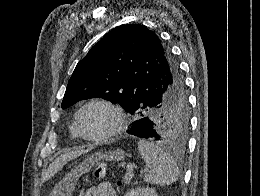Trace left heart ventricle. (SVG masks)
<instances>
[{
	"mask_svg": "<svg viewBox=\"0 0 260 196\" xmlns=\"http://www.w3.org/2000/svg\"><path fill=\"white\" fill-rule=\"evenodd\" d=\"M117 122L115 113L103 104H93L81 114L79 126L89 136L102 135L111 130Z\"/></svg>",
	"mask_w": 260,
	"mask_h": 196,
	"instance_id": "obj_1",
	"label": "left heart ventricle"
}]
</instances>
